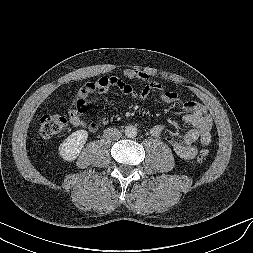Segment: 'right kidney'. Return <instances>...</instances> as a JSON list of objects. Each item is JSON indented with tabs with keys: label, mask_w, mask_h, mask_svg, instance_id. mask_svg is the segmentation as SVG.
<instances>
[{
	"label": "right kidney",
	"mask_w": 253,
	"mask_h": 253,
	"mask_svg": "<svg viewBox=\"0 0 253 253\" xmlns=\"http://www.w3.org/2000/svg\"><path fill=\"white\" fill-rule=\"evenodd\" d=\"M88 138L86 130H77L70 134L59 146V155L68 162L74 161Z\"/></svg>",
	"instance_id": "ca27d5eb"
}]
</instances>
